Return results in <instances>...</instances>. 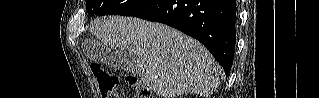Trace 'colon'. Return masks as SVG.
Wrapping results in <instances>:
<instances>
[{"mask_svg": "<svg viewBox=\"0 0 319 98\" xmlns=\"http://www.w3.org/2000/svg\"><path fill=\"white\" fill-rule=\"evenodd\" d=\"M91 71L97 81L101 97H119L117 75L107 72L99 64H92ZM126 83L133 88L134 98H149V89L142 85L136 77H126Z\"/></svg>", "mask_w": 319, "mask_h": 98, "instance_id": "obj_1", "label": "colon"}]
</instances>
